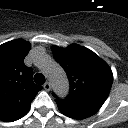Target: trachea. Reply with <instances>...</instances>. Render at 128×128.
<instances>
[{
	"mask_svg": "<svg viewBox=\"0 0 128 128\" xmlns=\"http://www.w3.org/2000/svg\"><path fill=\"white\" fill-rule=\"evenodd\" d=\"M34 81L36 84L43 85L45 83V77L41 73H36L34 76Z\"/></svg>",
	"mask_w": 128,
	"mask_h": 128,
	"instance_id": "1",
	"label": "trachea"
}]
</instances>
